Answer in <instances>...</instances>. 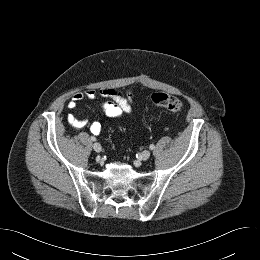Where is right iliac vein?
Masks as SVG:
<instances>
[{"label": "right iliac vein", "mask_w": 260, "mask_h": 260, "mask_svg": "<svg viewBox=\"0 0 260 260\" xmlns=\"http://www.w3.org/2000/svg\"><path fill=\"white\" fill-rule=\"evenodd\" d=\"M93 149L96 151V152H101V145L98 143V142H95L94 144H93Z\"/></svg>", "instance_id": "obj_1"}]
</instances>
